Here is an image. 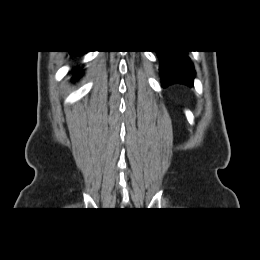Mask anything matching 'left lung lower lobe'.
Listing matches in <instances>:
<instances>
[{
  "mask_svg": "<svg viewBox=\"0 0 260 260\" xmlns=\"http://www.w3.org/2000/svg\"><path fill=\"white\" fill-rule=\"evenodd\" d=\"M160 60L162 87L174 83L193 86L195 75L193 64L185 50L156 51Z\"/></svg>",
  "mask_w": 260,
  "mask_h": 260,
  "instance_id": "obj_1",
  "label": "left lung lower lobe"
}]
</instances>
